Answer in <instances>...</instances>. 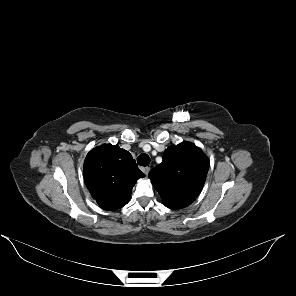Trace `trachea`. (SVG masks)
Listing matches in <instances>:
<instances>
[{"label": "trachea", "instance_id": "obj_1", "mask_svg": "<svg viewBox=\"0 0 296 296\" xmlns=\"http://www.w3.org/2000/svg\"><path fill=\"white\" fill-rule=\"evenodd\" d=\"M137 162L141 166H148L150 164V157L147 154H140L137 157Z\"/></svg>", "mask_w": 296, "mask_h": 296}]
</instances>
